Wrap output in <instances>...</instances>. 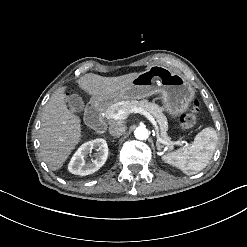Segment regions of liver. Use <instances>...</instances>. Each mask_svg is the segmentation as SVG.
Returning a JSON list of instances; mask_svg holds the SVG:
<instances>
[{"mask_svg":"<svg viewBox=\"0 0 247 247\" xmlns=\"http://www.w3.org/2000/svg\"><path fill=\"white\" fill-rule=\"evenodd\" d=\"M137 73L119 77H101L85 74L77 82L93 94L118 92L124 89ZM64 88H58L43 109L39 131L40 152L44 162L52 170H57L65 161L80 136V121L66 107Z\"/></svg>","mask_w":247,"mask_h":247,"instance_id":"liver-1","label":"liver"}]
</instances>
